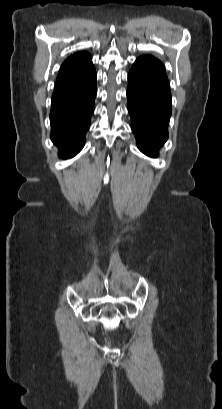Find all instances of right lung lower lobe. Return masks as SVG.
Listing matches in <instances>:
<instances>
[{
    "label": "right lung lower lobe",
    "instance_id": "98d812e1",
    "mask_svg": "<svg viewBox=\"0 0 222 409\" xmlns=\"http://www.w3.org/2000/svg\"><path fill=\"white\" fill-rule=\"evenodd\" d=\"M78 83L76 89L52 95L50 111L51 140L59 148V157L72 158L84 146L90 127L97 92L95 68L84 74L61 78Z\"/></svg>",
    "mask_w": 222,
    "mask_h": 409
}]
</instances>
